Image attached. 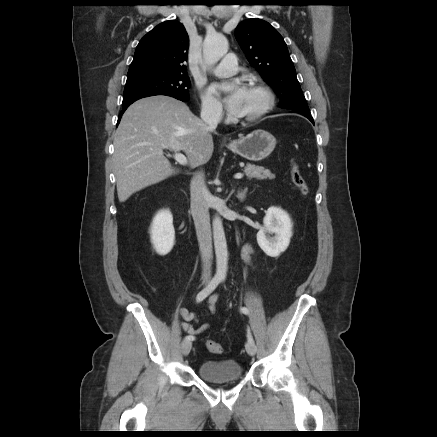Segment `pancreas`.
<instances>
[{
  "mask_svg": "<svg viewBox=\"0 0 437 437\" xmlns=\"http://www.w3.org/2000/svg\"><path fill=\"white\" fill-rule=\"evenodd\" d=\"M244 172L249 179L256 178L259 180H263L275 178V175L272 174L270 170L265 169L262 166H255L252 164H247L244 168Z\"/></svg>",
  "mask_w": 437,
  "mask_h": 437,
  "instance_id": "pancreas-1",
  "label": "pancreas"
}]
</instances>
